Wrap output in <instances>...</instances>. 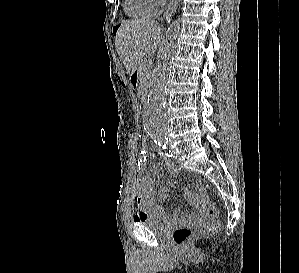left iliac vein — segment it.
I'll list each match as a JSON object with an SVG mask.
<instances>
[{"mask_svg":"<svg viewBox=\"0 0 299 273\" xmlns=\"http://www.w3.org/2000/svg\"><path fill=\"white\" fill-rule=\"evenodd\" d=\"M172 153L174 156H177V151L175 149H172Z\"/></svg>","mask_w":299,"mask_h":273,"instance_id":"4c4485c4","label":"left iliac vein"}]
</instances>
